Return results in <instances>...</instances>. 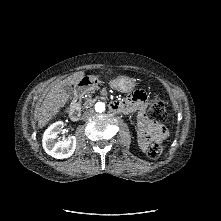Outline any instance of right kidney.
I'll return each mask as SVG.
<instances>
[{"label":"right kidney","mask_w":221,"mask_h":221,"mask_svg":"<svg viewBox=\"0 0 221 221\" xmlns=\"http://www.w3.org/2000/svg\"><path fill=\"white\" fill-rule=\"evenodd\" d=\"M64 127L63 122L53 123L44 133L42 145L45 152L57 159L69 158L76 148V137L71 136L66 140H57L58 134Z\"/></svg>","instance_id":"ca27d5eb"}]
</instances>
